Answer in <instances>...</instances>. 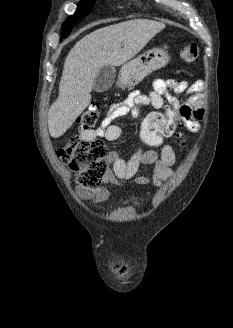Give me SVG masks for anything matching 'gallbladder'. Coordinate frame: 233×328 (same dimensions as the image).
<instances>
[{
  "mask_svg": "<svg viewBox=\"0 0 233 328\" xmlns=\"http://www.w3.org/2000/svg\"><path fill=\"white\" fill-rule=\"evenodd\" d=\"M116 78V70L113 66L102 67L93 83V90L96 92H104L111 88Z\"/></svg>",
  "mask_w": 233,
  "mask_h": 328,
  "instance_id": "bac80fb5",
  "label": "gallbladder"
}]
</instances>
